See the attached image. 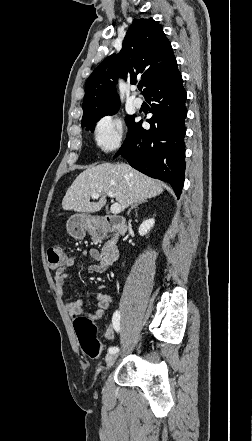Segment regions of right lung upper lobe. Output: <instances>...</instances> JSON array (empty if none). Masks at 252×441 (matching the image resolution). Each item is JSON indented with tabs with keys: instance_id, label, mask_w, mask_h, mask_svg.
<instances>
[{
	"instance_id": "cb5924a9",
	"label": "right lung upper lobe",
	"mask_w": 252,
	"mask_h": 441,
	"mask_svg": "<svg viewBox=\"0 0 252 441\" xmlns=\"http://www.w3.org/2000/svg\"><path fill=\"white\" fill-rule=\"evenodd\" d=\"M175 61L162 26L152 18L134 19L120 53L107 57L86 81L82 124L120 106L115 86L118 76L132 84L140 79L145 95Z\"/></svg>"
}]
</instances>
